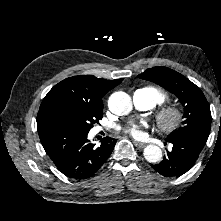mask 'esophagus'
<instances>
[{
  "label": "esophagus",
  "instance_id": "1",
  "mask_svg": "<svg viewBox=\"0 0 221 221\" xmlns=\"http://www.w3.org/2000/svg\"><path fill=\"white\" fill-rule=\"evenodd\" d=\"M133 143L135 144L136 147H138V148H140V149H142V148H144V147L146 146L145 143L138 142V141H136V140H134Z\"/></svg>",
  "mask_w": 221,
  "mask_h": 221
}]
</instances>
